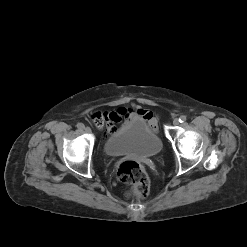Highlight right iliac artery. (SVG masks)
Here are the masks:
<instances>
[{
    "label": "right iliac artery",
    "instance_id": "right-iliac-artery-1",
    "mask_svg": "<svg viewBox=\"0 0 247 247\" xmlns=\"http://www.w3.org/2000/svg\"><path fill=\"white\" fill-rule=\"evenodd\" d=\"M77 127H78L79 129H83V128H84V124L78 123V124H77Z\"/></svg>",
    "mask_w": 247,
    "mask_h": 247
}]
</instances>
